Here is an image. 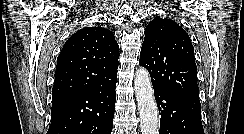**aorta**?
Wrapping results in <instances>:
<instances>
[{
  "label": "aorta",
  "instance_id": "aorta-1",
  "mask_svg": "<svg viewBox=\"0 0 244 134\" xmlns=\"http://www.w3.org/2000/svg\"><path fill=\"white\" fill-rule=\"evenodd\" d=\"M134 88L140 115L141 134H158V108L148 71L140 67L135 74Z\"/></svg>",
  "mask_w": 244,
  "mask_h": 134
}]
</instances>
